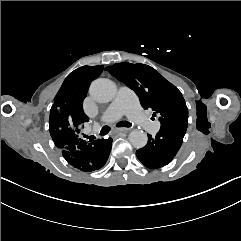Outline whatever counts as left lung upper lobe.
I'll return each instance as SVG.
<instances>
[{"mask_svg":"<svg viewBox=\"0 0 241 241\" xmlns=\"http://www.w3.org/2000/svg\"><path fill=\"white\" fill-rule=\"evenodd\" d=\"M105 70L134 90L144 109L159 113L161 125L188 124V109L181 92L151 66L123 62Z\"/></svg>","mask_w":241,"mask_h":241,"instance_id":"obj_1","label":"left lung upper lobe"}]
</instances>
